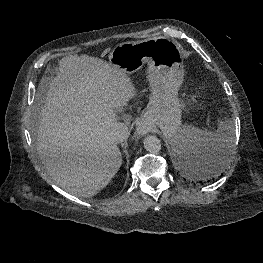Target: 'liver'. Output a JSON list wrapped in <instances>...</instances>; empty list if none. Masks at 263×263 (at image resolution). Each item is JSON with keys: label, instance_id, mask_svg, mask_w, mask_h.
<instances>
[{"label": "liver", "instance_id": "liver-1", "mask_svg": "<svg viewBox=\"0 0 263 263\" xmlns=\"http://www.w3.org/2000/svg\"><path fill=\"white\" fill-rule=\"evenodd\" d=\"M58 69L39 114L37 151L62 189L92 197L122 164L111 131L135 87L123 70L86 54L62 58Z\"/></svg>", "mask_w": 263, "mask_h": 263}]
</instances>
